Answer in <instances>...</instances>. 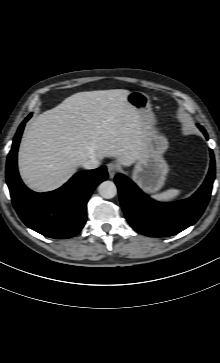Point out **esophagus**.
<instances>
[{"instance_id": "esophagus-1", "label": "esophagus", "mask_w": 220, "mask_h": 363, "mask_svg": "<svg viewBox=\"0 0 220 363\" xmlns=\"http://www.w3.org/2000/svg\"><path fill=\"white\" fill-rule=\"evenodd\" d=\"M118 169L119 168H118V165L116 163L111 162V163H109L107 165V171H108L109 177L111 179L114 178V176L117 173Z\"/></svg>"}]
</instances>
